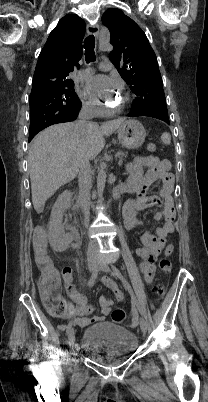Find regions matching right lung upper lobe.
I'll return each mask as SVG.
<instances>
[{
    "label": "right lung upper lobe",
    "mask_w": 208,
    "mask_h": 402,
    "mask_svg": "<svg viewBox=\"0 0 208 402\" xmlns=\"http://www.w3.org/2000/svg\"><path fill=\"white\" fill-rule=\"evenodd\" d=\"M84 35L85 22L78 15L68 14L58 22L38 57L31 93L41 85L71 80L69 73L80 67Z\"/></svg>",
    "instance_id": "1"
}]
</instances>
